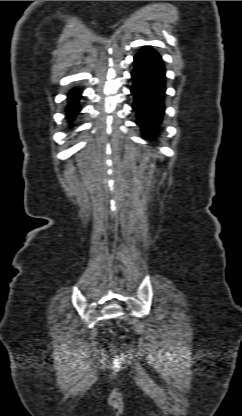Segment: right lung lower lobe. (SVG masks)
I'll return each mask as SVG.
<instances>
[{
  "label": "right lung lower lobe",
  "mask_w": 242,
  "mask_h": 416,
  "mask_svg": "<svg viewBox=\"0 0 242 416\" xmlns=\"http://www.w3.org/2000/svg\"><path fill=\"white\" fill-rule=\"evenodd\" d=\"M80 91L72 89L68 94V106H67V118L73 119L75 115L80 111L79 98L81 97Z\"/></svg>",
  "instance_id": "98d812e1"
}]
</instances>
